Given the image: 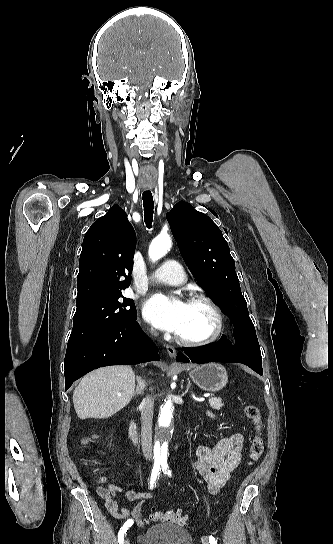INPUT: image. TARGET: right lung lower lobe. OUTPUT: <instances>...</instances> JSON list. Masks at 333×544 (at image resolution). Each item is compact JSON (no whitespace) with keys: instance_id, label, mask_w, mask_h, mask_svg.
<instances>
[{"instance_id":"right-lung-lower-lobe-1","label":"right lung lower lobe","mask_w":333,"mask_h":544,"mask_svg":"<svg viewBox=\"0 0 333 544\" xmlns=\"http://www.w3.org/2000/svg\"><path fill=\"white\" fill-rule=\"evenodd\" d=\"M136 318L67 347L64 360L65 390L75 380L99 367L160 360L157 347L143 333Z\"/></svg>"}]
</instances>
